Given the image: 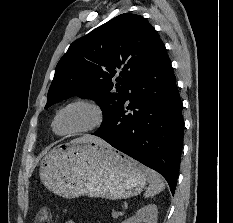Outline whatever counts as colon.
I'll return each instance as SVG.
<instances>
[{"label":"colon","instance_id":"obj_1","mask_svg":"<svg viewBox=\"0 0 233 223\" xmlns=\"http://www.w3.org/2000/svg\"><path fill=\"white\" fill-rule=\"evenodd\" d=\"M50 212L47 209H42L37 218V223H49Z\"/></svg>","mask_w":233,"mask_h":223}]
</instances>
